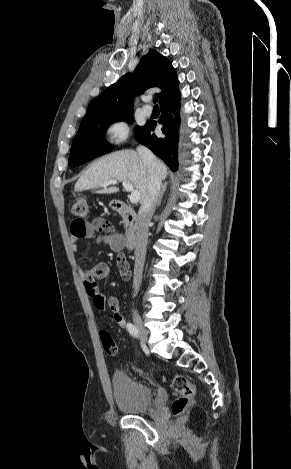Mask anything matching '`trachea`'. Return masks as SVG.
Returning <instances> with one entry per match:
<instances>
[{
    "label": "trachea",
    "mask_w": 291,
    "mask_h": 469,
    "mask_svg": "<svg viewBox=\"0 0 291 469\" xmlns=\"http://www.w3.org/2000/svg\"><path fill=\"white\" fill-rule=\"evenodd\" d=\"M158 102V97H154L153 98V103L155 104V107H158V105L156 104Z\"/></svg>",
    "instance_id": "trachea-1"
}]
</instances>
